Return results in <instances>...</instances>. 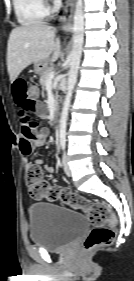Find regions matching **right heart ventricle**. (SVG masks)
Masks as SVG:
<instances>
[{
  "mask_svg": "<svg viewBox=\"0 0 134 281\" xmlns=\"http://www.w3.org/2000/svg\"><path fill=\"white\" fill-rule=\"evenodd\" d=\"M16 18L22 25H33L43 21L48 10L44 0H13Z\"/></svg>",
  "mask_w": 134,
  "mask_h": 281,
  "instance_id": "right-heart-ventricle-1",
  "label": "right heart ventricle"
}]
</instances>
